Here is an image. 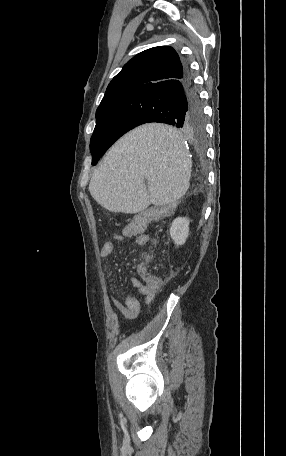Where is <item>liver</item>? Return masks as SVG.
<instances>
[{"label": "liver", "instance_id": "1", "mask_svg": "<svg viewBox=\"0 0 286 456\" xmlns=\"http://www.w3.org/2000/svg\"><path fill=\"white\" fill-rule=\"evenodd\" d=\"M191 168L180 131L169 125L145 124L110 148L92 175L89 191L108 211L138 213L151 204L168 205L183 197Z\"/></svg>", "mask_w": 286, "mask_h": 456}]
</instances>
